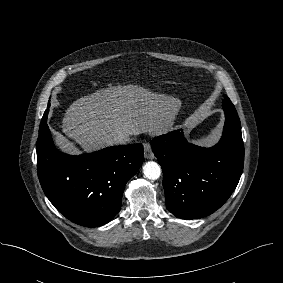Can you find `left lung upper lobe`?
Instances as JSON below:
<instances>
[{"instance_id":"left-lung-upper-lobe-1","label":"left lung upper lobe","mask_w":283,"mask_h":283,"mask_svg":"<svg viewBox=\"0 0 283 283\" xmlns=\"http://www.w3.org/2000/svg\"><path fill=\"white\" fill-rule=\"evenodd\" d=\"M223 102H231L230 99L226 96Z\"/></svg>"}]
</instances>
